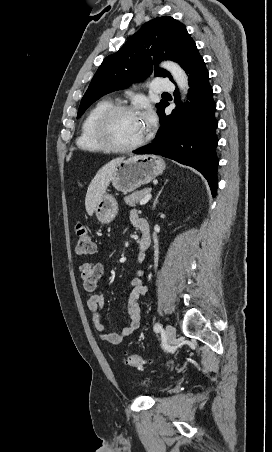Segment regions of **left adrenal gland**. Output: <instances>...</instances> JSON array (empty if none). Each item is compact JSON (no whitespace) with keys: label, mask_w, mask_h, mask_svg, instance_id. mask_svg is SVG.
<instances>
[{"label":"left adrenal gland","mask_w":272,"mask_h":452,"mask_svg":"<svg viewBox=\"0 0 272 452\" xmlns=\"http://www.w3.org/2000/svg\"><path fill=\"white\" fill-rule=\"evenodd\" d=\"M167 182H168V179H166V181H165L164 185L162 186L161 190H160L159 193L156 195V197H155V199H154V201H153L152 209H155V208H156V205H157V203H158V198H159L160 194L162 193L163 188H164V186L166 185Z\"/></svg>","instance_id":"left-adrenal-gland-1"}]
</instances>
